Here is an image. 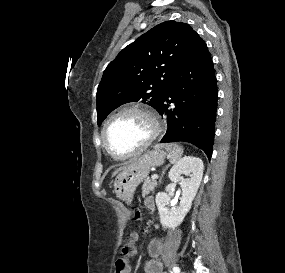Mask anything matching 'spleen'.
<instances>
[{"instance_id": "obj_1", "label": "spleen", "mask_w": 285, "mask_h": 273, "mask_svg": "<svg viewBox=\"0 0 285 273\" xmlns=\"http://www.w3.org/2000/svg\"><path fill=\"white\" fill-rule=\"evenodd\" d=\"M157 147H163L169 153V160L171 163H176L183 154V148L177 144L169 143L159 145Z\"/></svg>"}]
</instances>
